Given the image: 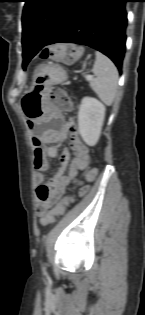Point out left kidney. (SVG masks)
<instances>
[{"instance_id": "left-kidney-1", "label": "left kidney", "mask_w": 145, "mask_h": 315, "mask_svg": "<svg viewBox=\"0 0 145 315\" xmlns=\"http://www.w3.org/2000/svg\"><path fill=\"white\" fill-rule=\"evenodd\" d=\"M105 106L95 98L84 97L78 112L79 133L83 141L94 146L98 142L105 116Z\"/></svg>"}]
</instances>
